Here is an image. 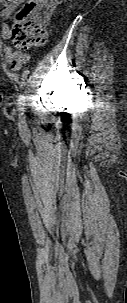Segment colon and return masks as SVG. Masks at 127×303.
I'll return each instance as SVG.
<instances>
[{"label":"colon","mask_w":127,"mask_h":303,"mask_svg":"<svg viewBox=\"0 0 127 303\" xmlns=\"http://www.w3.org/2000/svg\"><path fill=\"white\" fill-rule=\"evenodd\" d=\"M14 0H0L10 5ZM60 0H27L17 11L11 30V40L17 49L42 46L47 37L50 18Z\"/></svg>","instance_id":"obj_1"}]
</instances>
